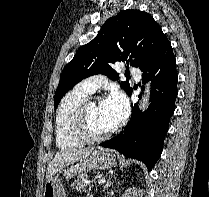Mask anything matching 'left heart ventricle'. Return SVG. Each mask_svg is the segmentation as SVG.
I'll return each mask as SVG.
<instances>
[{
  "label": "left heart ventricle",
  "instance_id": "1",
  "mask_svg": "<svg viewBox=\"0 0 209 197\" xmlns=\"http://www.w3.org/2000/svg\"><path fill=\"white\" fill-rule=\"evenodd\" d=\"M88 129L93 134H101L112 128L106 114L102 109V102L97 101L88 110Z\"/></svg>",
  "mask_w": 209,
  "mask_h": 197
}]
</instances>
